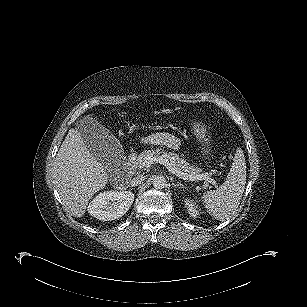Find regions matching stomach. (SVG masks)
Returning a JSON list of instances; mask_svg holds the SVG:
<instances>
[{"label":"stomach","mask_w":307,"mask_h":307,"mask_svg":"<svg viewBox=\"0 0 307 307\" xmlns=\"http://www.w3.org/2000/svg\"><path fill=\"white\" fill-rule=\"evenodd\" d=\"M192 127H193V134L200 140V141H204L206 142L207 139L205 138V130H204V127L201 123H198V122H194L192 124ZM203 152H206L205 150H203Z\"/></svg>","instance_id":"stomach-1"}]
</instances>
